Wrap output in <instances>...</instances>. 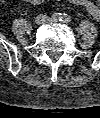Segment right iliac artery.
I'll return each instance as SVG.
<instances>
[{"label": "right iliac artery", "instance_id": "obj_1", "mask_svg": "<svg viewBox=\"0 0 100 118\" xmlns=\"http://www.w3.org/2000/svg\"><path fill=\"white\" fill-rule=\"evenodd\" d=\"M61 17H62V14L57 13V12L52 15V19L56 22L61 21Z\"/></svg>", "mask_w": 100, "mask_h": 118}]
</instances>
